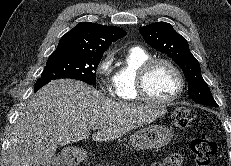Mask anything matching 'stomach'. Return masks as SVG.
Instances as JSON below:
<instances>
[{
    "mask_svg": "<svg viewBox=\"0 0 231 166\" xmlns=\"http://www.w3.org/2000/svg\"><path fill=\"white\" fill-rule=\"evenodd\" d=\"M172 137L171 130L164 125H150L130 135L129 142L138 150H152L164 147ZM82 153L76 150H67L65 161L74 163L80 160Z\"/></svg>",
    "mask_w": 231,
    "mask_h": 166,
    "instance_id": "0dacf381",
    "label": "stomach"
}]
</instances>
